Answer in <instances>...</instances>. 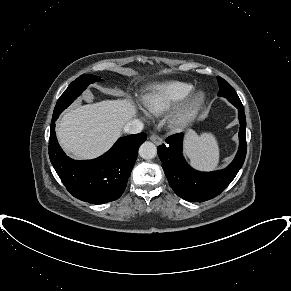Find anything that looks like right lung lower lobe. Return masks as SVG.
<instances>
[{"label": "right lung lower lobe", "mask_w": 291, "mask_h": 291, "mask_svg": "<svg viewBox=\"0 0 291 291\" xmlns=\"http://www.w3.org/2000/svg\"><path fill=\"white\" fill-rule=\"evenodd\" d=\"M55 121L51 123L49 156L68 192L92 204H104L120 198L146 134L119 138L104 155L93 160L76 161L67 157L60 148L55 135Z\"/></svg>", "instance_id": "right-lung-lower-lobe-1"}]
</instances>
